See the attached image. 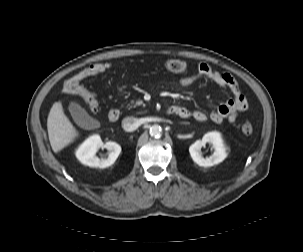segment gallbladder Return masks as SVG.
<instances>
[{"label":"gallbladder","instance_id":"bac80fb5","mask_svg":"<svg viewBox=\"0 0 303 252\" xmlns=\"http://www.w3.org/2000/svg\"><path fill=\"white\" fill-rule=\"evenodd\" d=\"M69 111L75 123L81 128H87L91 124L92 118L77 101L70 102Z\"/></svg>","mask_w":303,"mask_h":252}]
</instances>
